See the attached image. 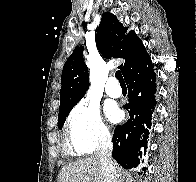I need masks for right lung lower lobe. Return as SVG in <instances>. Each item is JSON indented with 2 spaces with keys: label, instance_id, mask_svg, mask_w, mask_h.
I'll use <instances>...</instances> for the list:
<instances>
[{
  "label": "right lung lower lobe",
  "instance_id": "obj_1",
  "mask_svg": "<svg viewBox=\"0 0 196 182\" xmlns=\"http://www.w3.org/2000/svg\"><path fill=\"white\" fill-rule=\"evenodd\" d=\"M124 78L129 97L124 108L130 118L115 128L112 157L123 168L129 169L138 166L142 150L144 154L146 152L152 113L156 106V80L150 56L139 62Z\"/></svg>",
  "mask_w": 196,
  "mask_h": 182
}]
</instances>
